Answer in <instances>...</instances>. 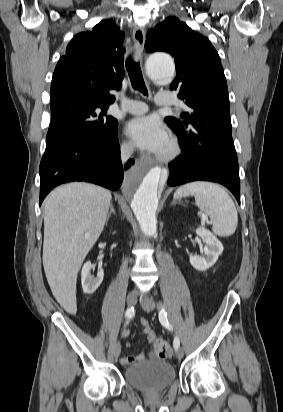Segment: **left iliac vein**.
Returning <instances> with one entry per match:
<instances>
[{
    "mask_svg": "<svg viewBox=\"0 0 283 412\" xmlns=\"http://www.w3.org/2000/svg\"><path fill=\"white\" fill-rule=\"evenodd\" d=\"M141 305L146 312H151L155 309V302L151 298L141 299ZM176 357L180 360L183 358V350L181 348L176 349Z\"/></svg>",
    "mask_w": 283,
    "mask_h": 412,
    "instance_id": "left-iliac-vein-1",
    "label": "left iliac vein"
}]
</instances>
